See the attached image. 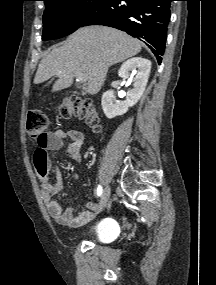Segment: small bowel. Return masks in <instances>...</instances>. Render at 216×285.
Segmentation results:
<instances>
[{
  "label": "small bowel",
  "mask_w": 216,
  "mask_h": 285,
  "mask_svg": "<svg viewBox=\"0 0 216 285\" xmlns=\"http://www.w3.org/2000/svg\"><path fill=\"white\" fill-rule=\"evenodd\" d=\"M69 139L71 143L64 149V154L75 162L81 161V148L84 143V134L79 130L57 129L48 133L47 144L43 149H38L34 154V165L40 180L44 183V192L42 194L44 203L50 216L67 227L76 228L89 222L94 214L101 208L95 203H87V210L74 216V210L71 207L64 208L54 197L64 188L63 176L59 170L56 171V182L48 183L51 161L47 155L48 151L60 150L64 146V140Z\"/></svg>",
  "instance_id": "small-bowel-1"
}]
</instances>
